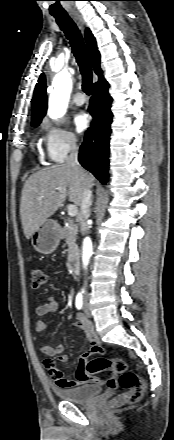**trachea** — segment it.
<instances>
[{"label":"trachea","instance_id":"trachea-1","mask_svg":"<svg viewBox=\"0 0 174 440\" xmlns=\"http://www.w3.org/2000/svg\"><path fill=\"white\" fill-rule=\"evenodd\" d=\"M54 17L69 40L76 57L83 77L82 89L87 95H91L92 69L80 30L68 15H55Z\"/></svg>","mask_w":174,"mask_h":440}]
</instances>
